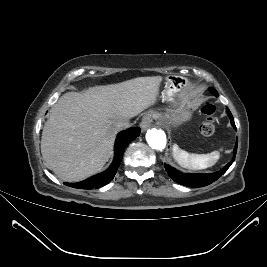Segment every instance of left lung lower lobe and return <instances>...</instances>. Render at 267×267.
Masks as SVG:
<instances>
[{"label": "left lung lower lobe", "instance_id": "left-lung-lower-lobe-1", "mask_svg": "<svg viewBox=\"0 0 267 267\" xmlns=\"http://www.w3.org/2000/svg\"><path fill=\"white\" fill-rule=\"evenodd\" d=\"M209 90L211 93L214 91V89H212V88H209ZM227 114L230 118L232 126L236 129L233 116H232V114L228 108H227ZM236 151H237V143H236L235 148H234V158L223 169H221L220 171H217L215 173L186 174V173L179 172L178 170L171 167L170 165L165 164L164 166H165V169H166V172L168 173V175L175 182H177L181 185H184V186H188V187H203V186L211 184L212 182L217 180L219 177H221L227 171V169L231 166V164L233 163V161L235 159Z\"/></svg>", "mask_w": 267, "mask_h": 267}]
</instances>
